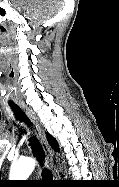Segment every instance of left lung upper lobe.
I'll return each instance as SVG.
<instances>
[{"label":"left lung upper lobe","instance_id":"left-lung-upper-lobe-1","mask_svg":"<svg viewBox=\"0 0 119 187\" xmlns=\"http://www.w3.org/2000/svg\"><path fill=\"white\" fill-rule=\"evenodd\" d=\"M47 139H48L50 145L52 146V148L54 150L58 151L59 147H58V144H57L56 140L51 135H49V134H47ZM0 182L4 183L5 181H0Z\"/></svg>","mask_w":119,"mask_h":187}]
</instances>
